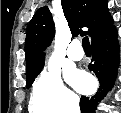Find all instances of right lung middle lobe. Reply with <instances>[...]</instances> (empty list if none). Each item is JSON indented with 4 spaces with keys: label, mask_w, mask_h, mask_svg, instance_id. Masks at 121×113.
I'll return each instance as SVG.
<instances>
[{
    "label": "right lung middle lobe",
    "mask_w": 121,
    "mask_h": 113,
    "mask_svg": "<svg viewBox=\"0 0 121 113\" xmlns=\"http://www.w3.org/2000/svg\"><path fill=\"white\" fill-rule=\"evenodd\" d=\"M44 63H42L38 68L27 73L26 76V87L29 88L35 77L39 75L40 71L43 69Z\"/></svg>",
    "instance_id": "obj_1"
}]
</instances>
